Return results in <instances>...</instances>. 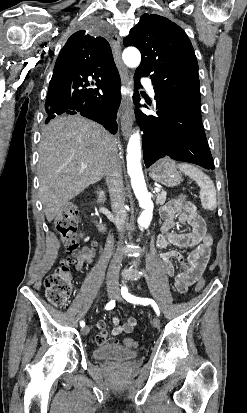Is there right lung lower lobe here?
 I'll use <instances>...</instances> for the list:
<instances>
[{"instance_id": "right-lung-lower-lobe-1", "label": "right lung lower lobe", "mask_w": 247, "mask_h": 413, "mask_svg": "<svg viewBox=\"0 0 247 413\" xmlns=\"http://www.w3.org/2000/svg\"><path fill=\"white\" fill-rule=\"evenodd\" d=\"M98 89H87L86 75L61 74L52 77L50 85L66 88L67 94L59 99H46V123L57 115L76 114L102 124L110 133L117 132L116 114L121 102L119 73L92 76ZM86 82L87 84H85ZM99 89L102 93H99Z\"/></svg>"}]
</instances>
